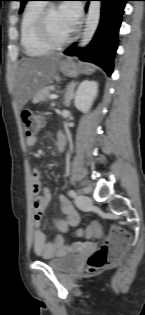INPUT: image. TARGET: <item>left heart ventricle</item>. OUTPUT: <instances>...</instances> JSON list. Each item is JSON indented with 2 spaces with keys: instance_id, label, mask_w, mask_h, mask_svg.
Listing matches in <instances>:
<instances>
[{
  "instance_id": "1",
  "label": "left heart ventricle",
  "mask_w": 145,
  "mask_h": 315,
  "mask_svg": "<svg viewBox=\"0 0 145 315\" xmlns=\"http://www.w3.org/2000/svg\"><path fill=\"white\" fill-rule=\"evenodd\" d=\"M48 28L52 38L58 41L66 38L72 31L58 8L53 9L49 15Z\"/></svg>"
}]
</instances>
